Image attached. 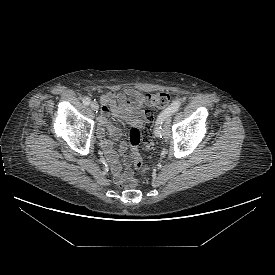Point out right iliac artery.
Returning a JSON list of instances; mask_svg holds the SVG:
<instances>
[{
    "label": "right iliac artery",
    "mask_w": 275,
    "mask_h": 275,
    "mask_svg": "<svg viewBox=\"0 0 275 275\" xmlns=\"http://www.w3.org/2000/svg\"><path fill=\"white\" fill-rule=\"evenodd\" d=\"M82 101H83V104L89 105L91 102V99L89 97H84Z\"/></svg>",
    "instance_id": "right-iliac-artery-1"
}]
</instances>
